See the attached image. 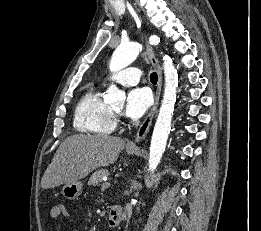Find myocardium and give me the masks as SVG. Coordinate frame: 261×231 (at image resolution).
<instances>
[{"instance_id":"myocardium-1","label":"myocardium","mask_w":261,"mask_h":231,"mask_svg":"<svg viewBox=\"0 0 261 231\" xmlns=\"http://www.w3.org/2000/svg\"><path fill=\"white\" fill-rule=\"evenodd\" d=\"M114 112H115L116 114H118V113H119V111H116V110H114Z\"/></svg>"}]
</instances>
